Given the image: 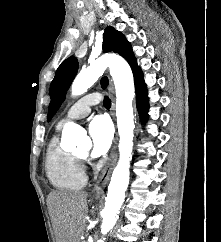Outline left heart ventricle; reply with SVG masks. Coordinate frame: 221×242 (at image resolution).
Returning <instances> with one entry per match:
<instances>
[{
    "label": "left heart ventricle",
    "instance_id": "1",
    "mask_svg": "<svg viewBox=\"0 0 221 242\" xmlns=\"http://www.w3.org/2000/svg\"><path fill=\"white\" fill-rule=\"evenodd\" d=\"M80 156H85L86 155V152L85 151H82L79 153Z\"/></svg>",
    "mask_w": 221,
    "mask_h": 242
}]
</instances>
